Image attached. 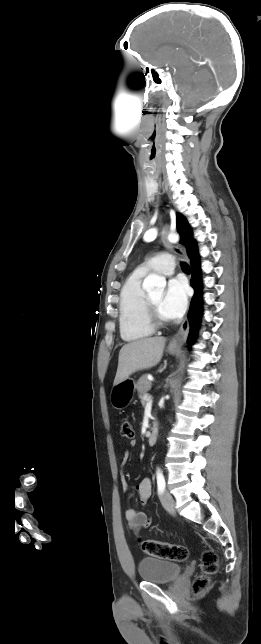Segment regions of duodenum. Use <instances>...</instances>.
Listing matches in <instances>:
<instances>
[{
  "mask_svg": "<svg viewBox=\"0 0 261 644\" xmlns=\"http://www.w3.org/2000/svg\"><path fill=\"white\" fill-rule=\"evenodd\" d=\"M158 434H159V428L158 425H154L151 430L149 431L148 437H147V442L149 445H154L158 439Z\"/></svg>",
  "mask_w": 261,
  "mask_h": 644,
  "instance_id": "410a0bca",
  "label": "duodenum"
}]
</instances>
